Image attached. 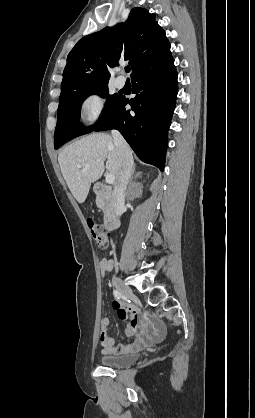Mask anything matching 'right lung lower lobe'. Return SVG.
Returning a JSON list of instances; mask_svg holds the SVG:
<instances>
[{"label": "right lung lower lobe", "mask_w": 255, "mask_h": 418, "mask_svg": "<svg viewBox=\"0 0 255 418\" xmlns=\"http://www.w3.org/2000/svg\"><path fill=\"white\" fill-rule=\"evenodd\" d=\"M133 93L120 95L109 117L92 129H117L144 162L164 170L167 131L175 109L178 82L172 56L132 78ZM129 103L131 110H126Z\"/></svg>", "instance_id": "obj_1"}]
</instances>
